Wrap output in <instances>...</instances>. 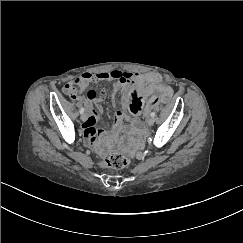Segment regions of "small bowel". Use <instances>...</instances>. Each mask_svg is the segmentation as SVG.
Masks as SVG:
<instances>
[{
	"label": "small bowel",
	"instance_id": "1",
	"mask_svg": "<svg viewBox=\"0 0 243 243\" xmlns=\"http://www.w3.org/2000/svg\"><path fill=\"white\" fill-rule=\"evenodd\" d=\"M116 82L113 85V90L118 91L125 88V93L122 99V105L130 112L131 115L137 116L143 112L148 113L153 108L162 103L165 97L172 94L170 86L162 82L161 76L157 73H131L127 71L112 70L98 73L84 72L77 76L74 80L67 82L63 91L72 99L83 100L88 103L98 102L99 98L95 91H89L85 96L82 92L91 82L112 81ZM89 108L86 120L82 125V131L85 139L90 144H95L97 135L101 133L97 128L98 111ZM123 113L116 112L117 121H121Z\"/></svg>",
	"mask_w": 243,
	"mask_h": 243
}]
</instances>
